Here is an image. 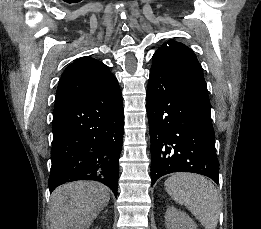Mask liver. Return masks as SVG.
I'll return each instance as SVG.
<instances>
[{"mask_svg":"<svg viewBox=\"0 0 261 229\" xmlns=\"http://www.w3.org/2000/svg\"><path fill=\"white\" fill-rule=\"evenodd\" d=\"M109 201V189L96 181L61 185L50 197V229H89Z\"/></svg>","mask_w":261,"mask_h":229,"instance_id":"1","label":"liver"}]
</instances>
